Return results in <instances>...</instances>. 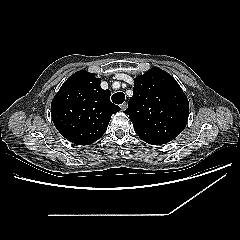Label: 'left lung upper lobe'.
Listing matches in <instances>:
<instances>
[{"label":"left lung upper lobe","mask_w":240,"mask_h":240,"mask_svg":"<svg viewBox=\"0 0 240 240\" xmlns=\"http://www.w3.org/2000/svg\"><path fill=\"white\" fill-rule=\"evenodd\" d=\"M125 113L143 141L149 144L155 139L171 141L187 124L189 102L170 74L153 67L135 78L133 96Z\"/></svg>","instance_id":"obj_1"}]
</instances>
